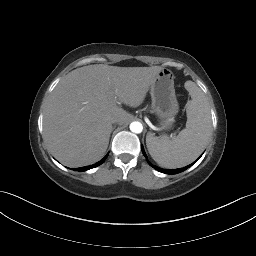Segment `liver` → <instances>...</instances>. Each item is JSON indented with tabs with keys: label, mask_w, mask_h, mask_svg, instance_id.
<instances>
[{
	"label": "liver",
	"mask_w": 256,
	"mask_h": 256,
	"mask_svg": "<svg viewBox=\"0 0 256 256\" xmlns=\"http://www.w3.org/2000/svg\"><path fill=\"white\" fill-rule=\"evenodd\" d=\"M162 70L160 66L117 67L94 64L77 68L53 90L44 111V138L51 153L68 167L100 160L113 130L131 115L118 106H140Z\"/></svg>",
	"instance_id": "6515ba94"
}]
</instances>
